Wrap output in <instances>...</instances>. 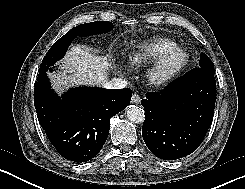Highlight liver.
<instances>
[{
    "mask_svg": "<svg viewBox=\"0 0 245 189\" xmlns=\"http://www.w3.org/2000/svg\"><path fill=\"white\" fill-rule=\"evenodd\" d=\"M64 63L66 70L61 75L49 74L57 91L74 85H105L108 81L109 59L97 56L82 45L72 46Z\"/></svg>",
    "mask_w": 245,
    "mask_h": 189,
    "instance_id": "1",
    "label": "liver"
}]
</instances>
